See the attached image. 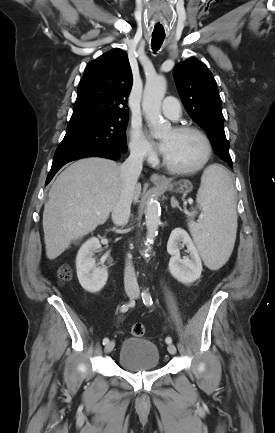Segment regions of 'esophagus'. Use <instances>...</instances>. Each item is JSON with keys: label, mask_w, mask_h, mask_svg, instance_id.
I'll list each match as a JSON object with an SVG mask.
<instances>
[{"label": "esophagus", "mask_w": 275, "mask_h": 433, "mask_svg": "<svg viewBox=\"0 0 275 433\" xmlns=\"http://www.w3.org/2000/svg\"><path fill=\"white\" fill-rule=\"evenodd\" d=\"M150 180L153 184L157 185V186H164L166 184H168V180L166 177L161 176L159 174L153 173L150 176Z\"/></svg>", "instance_id": "1"}]
</instances>
